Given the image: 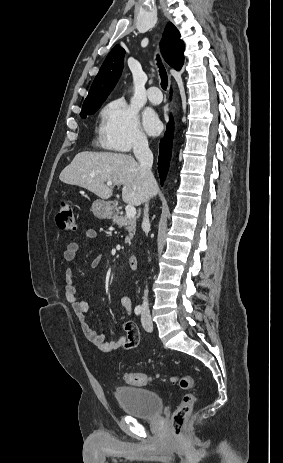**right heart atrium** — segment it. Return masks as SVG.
Masks as SVG:
<instances>
[{
	"mask_svg": "<svg viewBox=\"0 0 283 463\" xmlns=\"http://www.w3.org/2000/svg\"><path fill=\"white\" fill-rule=\"evenodd\" d=\"M99 135L103 146L117 151L148 146L138 112L123 99L113 100L103 108Z\"/></svg>",
	"mask_w": 283,
	"mask_h": 463,
	"instance_id": "right-heart-atrium-1",
	"label": "right heart atrium"
}]
</instances>
